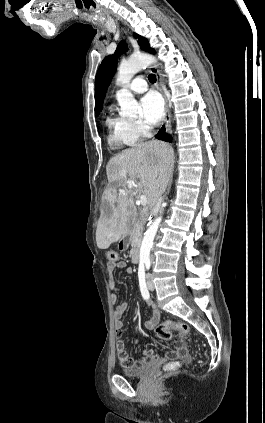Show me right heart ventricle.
Listing matches in <instances>:
<instances>
[{"instance_id": "obj_1", "label": "right heart ventricle", "mask_w": 265, "mask_h": 423, "mask_svg": "<svg viewBox=\"0 0 265 423\" xmlns=\"http://www.w3.org/2000/svg\"><path fill=\"white\" fill-rule=\"evenodd\" d=\"M106 126L111 146H131L139 139L133 129L132 121L124 116L110 112L106 118Z\"/></svg>"}]
</instances>
